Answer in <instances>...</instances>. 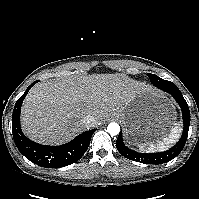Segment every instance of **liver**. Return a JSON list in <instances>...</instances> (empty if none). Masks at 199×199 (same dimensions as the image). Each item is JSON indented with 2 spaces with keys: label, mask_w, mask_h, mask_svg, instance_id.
I'll list each match as a JSON object with an SVG mask.
<instances>
[{
  "label": "liver",
  "mask_w": 199,
  "mask_h": 199,
  "mask_svg": "<svg viewBox=\"0 0 199 199\" xmlns=\"http://www.w3.org/2000/svg\"><path fill=\"white\" fill-rule=\"evenodd\" d=\"M137 92L134 83L117 74L41 82L24 100L22 129L37 142L62 144L90 128L82 122L86 115L94 116L97 124L126 108Z\"/></svg>",
  "instance_id": "6515ba94"
}]
</instances>
